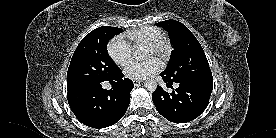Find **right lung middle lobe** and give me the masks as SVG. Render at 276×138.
I'll return each instance as SVG.
<instances>
[{"mask_svg":"<svg viewBox=\"0 0 276 138\" xmlns=\"http://www.w3.org/2000/svg\"><path fill=\"white\" fill-rule=\"evenodd\" d=\"M120 32V28L103 26L82 39L68 68V89L108 80L120 71L107 53L109 40Z\"/></svg>","mask_w":276,"mask_h":138,"instance_id":"right-lung-middle-lobe-1","label":"right lung middle lobe"}]
</instances>
